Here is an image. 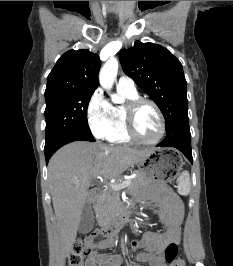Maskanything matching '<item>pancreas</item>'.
Instances as JSON below:
<instances>
[{
	"instance_id": "obj_1",
	"label": "pancreas",
	"mask_w": 233,
	"mask_h": 266,
	"mask_svg": "<svg viewBox=\"0 0 233 266\" xmlns=\"http://www.w3.org/2000/svg\"><path fill=\"white\" fill-rule=\"evenodd\" d=\"M145 176L138 172L137 176L131 179V184L128 186L130 193L134 192L140 187L147 185ZM120 203V192L112 188H108L104 191L102 197L97 201L96 211L99 217L100 223H104L115 216Z\"/></svg>"
}]
</instances>
